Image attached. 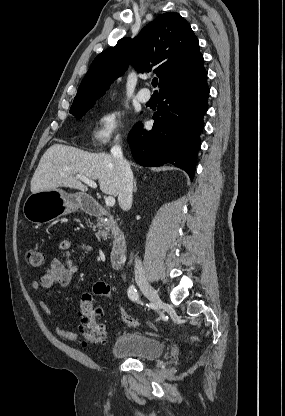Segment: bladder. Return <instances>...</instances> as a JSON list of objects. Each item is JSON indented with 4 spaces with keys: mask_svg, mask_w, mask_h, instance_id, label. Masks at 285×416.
<instances>
[{
    "mask_svg": "<svg viewBox=\"0 0 285 416\" xmlns=\"http://www.w3.org/2000/svg\"><path fill=\"white\" fill-rule=\"evenodd\" d=\"M163 350V342L157 337L125 331L115 338L111 355L146 361L161 357Z\"/></svg>",
    "mask_w": 285,
    "mask_h": 416,
    "instance_id": "1",
    "label": "bladder"
}]
</instances>
